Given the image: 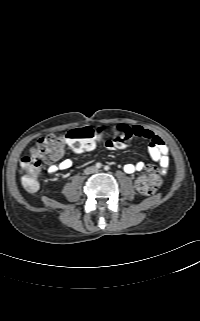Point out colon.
Here are the masks:
<instances>
[{
    "instance_id": "obj_1",
    "label": "colon",
    "mask_w": 200,
    "mask_h": 321,
    "mask_svg": "<svg viewBox=\"0 0 200 321\" xmlns=\"http://www.w3.org/2000/svg\"><path fill=\"white\" fill-rule=\"evenodd\" d=\"M112 140L118 148L125 147L134 137L135 131L127 125L113 128ZM100 128L80 127L69 130L65 135L49 134L40 138L29 155L20 160L22 185L28 192H36L39 188L37 173L44 162H49L59 156L65 144L78 151L92 150L100 137ZM161 183V172L154 166H148L136 180V189L144 196L154 194Z\"/></svg>"
}]
</instances>
